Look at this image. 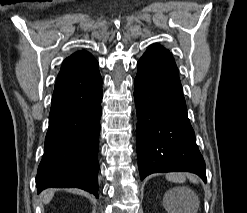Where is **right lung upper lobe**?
<instances>
[{"label":"right lung upper lobe","instance_id":"obj_1","mask_svg":"<svg viewBox=\"0 0 247 213\" xmlns=\"http://www.w3.org/2000/svg\"><path fill=\"white\" fill-rule=\"evenodd\" d=\"M96 67H98V62L89 52L85 50L77 51L63 61L57 81Z\"/></svg>","mask_w":247,"mask_h":213}]
</instances>
